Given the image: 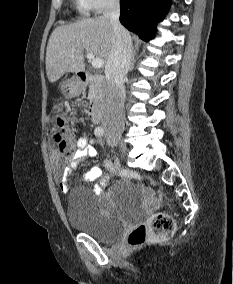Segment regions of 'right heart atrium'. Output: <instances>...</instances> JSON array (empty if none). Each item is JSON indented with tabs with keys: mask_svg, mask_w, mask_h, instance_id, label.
Returning a JSON list of instances; mask_svg holds the SVG:
<instances>
[{
	"mask_svg": "<svg viewBox=\"0 0 233 284\" xmlns=\"http://www.w3.org/2000/svg\"><path fill=\"white\" fill-rule=\"evenodd\" d=\"M119 0H84L87 8L93 12H101L104 9L118 3Z\"/></svg>",
	"mask_w": 233,
	"mask_h": 284,
	"instance_id": "1",
	"label": "right heart atrium"
}]
</instances>
